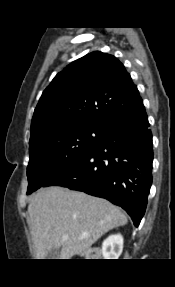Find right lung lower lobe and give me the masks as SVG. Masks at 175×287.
I'll return each instance as SVG.
<instances>
[{"instance_id":"right-lung-lower-lobe-1","label":"right lung lower lobe","mask_w":175,"mask_h":287,"mask_svg":"<svg viewBox=\"0 0 175 287\" xmlns=\"http://www.w3.org/2000/svg\"><path fill=\"white\" fill-rule=\"evenodd\" d=\"M152 147V133L142 104L108 122L98 144L44 186H64L105 198L122 207L137 227L152 184Z\"/></svg>"}]
</instances>
